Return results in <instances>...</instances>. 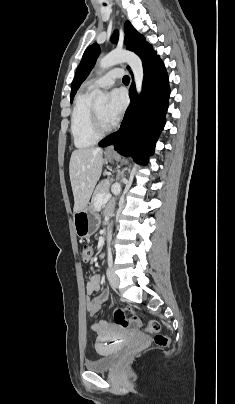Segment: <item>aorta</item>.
<instances>
[{
  "label": "aorta",
  "instance_id": "aorta-1",
  "mask_svg": "<svg viewBox=\"0 0 235 404\" xmlns=\"http://www.w3.org/2000/svg\"><path fill=\"white\" fill-rule=\"evenodd\" d=\"M127 63L134 74L135 85L137 93L140 94L142 90L143 83V66L141 59L133 52L126 50H113L107 55L103 56L99 61V67L102 70L108 69L116 64ZM93 103L95 106H103L106 104L108 97L100 90H95L93 92ZM112 239V230L110 226V231L108 233V241Z\"/></svg>",
  "mask_w": 235,
  "mask_h": 404
}]
</instances>
